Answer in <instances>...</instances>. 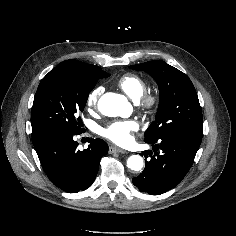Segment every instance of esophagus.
<instances>
[{
    "instance_id": "obj_1",
    "label": "esophagus",
    "mask_w": 236,
    "mask_h": 236,
    "mask_svg": "<svg viewBox=\"0 0 236 236\" xmlns=\"http://www.w3.org/2000/svg\"><path fill=\"white\" fill-rule=\"evenodd\" d=\"M126 151L121 149V148H118L116 146H110L109 147V153L110 154H113V153H125Z\"/></svg>"
}]
</instances>
